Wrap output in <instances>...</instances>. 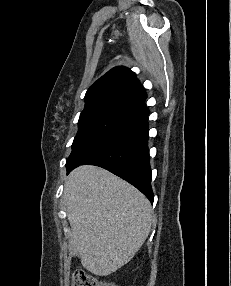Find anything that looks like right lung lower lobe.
<instances>
[{
    "label": "right lung lower lobe",
    "instance_id": "1",
    "mask_svg": "<svg viewBox=\"0 0 231 286\" xmlns=\"http://www.w3.org/2000/svg\"><path fill=\"white\" fill-rule=\"evenodd\" d=\"M148 114L147 107L142 105L134 118L116 127L75 162L67 164V173L83 164L103 167L134 185L153 203L147 147Z\"/></svg>",
    "mask_w": 231,
    "mask_h": 286
}]
</instances>
